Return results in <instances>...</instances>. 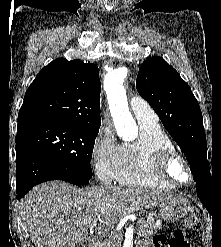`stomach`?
<instances>
[{
	"label": "stomach",
	"mask_w": 221,
	"mask_h": 247,
	"mask_svg": "<svg viewBox=\"0 0 221 247\" xmlns=\"http://www.w3.org/2000/svg\"><path fill=\"white\" fill-rule=\"evenodd\" d=\"M190 211V204L181 197H173L159 204L158 214L162 219L178 222Z\"/></svg>",
	"instance_id": "obj_1"
}]
</instances>
